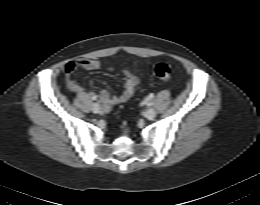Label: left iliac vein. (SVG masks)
<instances>
[{"label":"left iliac vein","mask_w":260,"mask_h":205,"mask_svg":"<svg viewBox=\"0 0 260 205\" xmlns=\"http://www.w3.org/2000/svg\"><path fill=\"white\" fill-rule=\"evenodd\" d=\"M144 116H145L147 119H149V120L154 119L155 116H156V111H155V109H153V108L147 109L146 112H145V114H144Z\"/></svg>","instance_id":"4c4485c4"}]
</instances>
